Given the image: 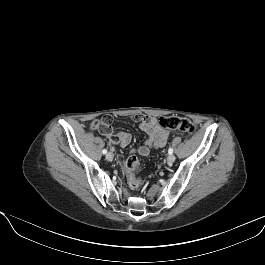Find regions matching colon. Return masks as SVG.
<instances>
[{
	"mask_svg": "<svg viewBox=\"0 0 265 265\" xmlns=\"http://www.w3.org/2000/svg\"><path fill=\"white\" fill-rule=\"evenodd\" d=\"M112 117L106 115L100 120L94 121L92 127L100 130L102 133H108L111 130ZM157 124L163 128L179 131L186 134L195 132L194 123L184 117L167 116L157 120ZM140 169V161L136 156H130L125 162V172L127 175L128 185L131 189H138L142 184V179L135 175V172Z\"/></svg>",
	"mask_w": 265,
	"mask_h": 265,
	"instance_id": "5ec220e1",
	"label": "colon"
}]
</instances>
